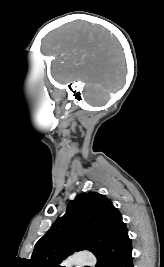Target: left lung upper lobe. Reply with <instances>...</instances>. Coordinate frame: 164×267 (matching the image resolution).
Masks as SVG:
<instances>
[{
  "mask_svg": "<svg viewBox=\"0 0 164 267\" xmlns=\"http://www.w3.org/2000/svg\"><path fill=\"white\" fill-rule=\"evenodd\" d=\"M123 224L120 212L105 195L81 193L37 241L29 265L60 267L62 260L74 251L87 249L96 254Z\"/></svg>",
  "mask_w": 164,
  "mask_h": 267,
  "instance_id": "1",
  "label": "left lung upper lobe"
}]
</instances>
